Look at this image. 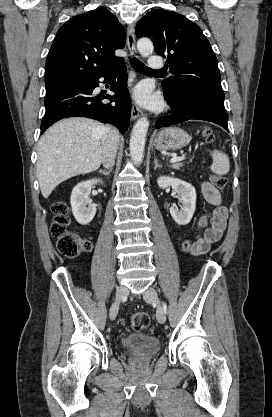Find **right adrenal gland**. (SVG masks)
Wrapping results in <instances>:
<instances>
[{
    "label": "right adrenal gland",
    "instance_id": "2a0ac1e0",
    "mask_svg": "<svg viewBox=\"0 0 272 417\" xmlns=\"http://www.w3.org/2000/svg\"><path fill=\"white\" fill-rule=\"evenodd\" d=\"M112 171V168H110L108 171L107 170H99V173L103 174L104 176H108Z\"/></svg>",
    "mask_w": 272,
    "mask_h": 417
}]
</instances>
